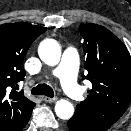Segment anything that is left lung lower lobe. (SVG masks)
Segmentation results:
<instances>
[{"label": "left lung lower lobe", "mask_w": 131, "mask_h": 131, "mask_svg": "<svg viewBox=\"0 0 131 131\" xmlns=\"http://www.w3.org/2000/svg\"><path fill=\"white\" fill-rule=\"evenodd\" d=\"M71 131H103L97 128L88 118L75 113L67 122Z\"/></svg>", "instance_id": "obj_1"}]
</instances>
